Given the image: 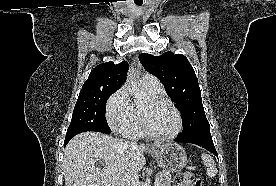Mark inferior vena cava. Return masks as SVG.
Here are the masks:
<instances>
[{
	"label": "inferior vena cava",
	"instance_id": "602c4592",
	"mask_svg": "<svg viewBox=\"0 0 276 186\" xmlns=\"http://www.w3.org/2000/svg\"><path fill=\"white\" fill-rule=\"evenodd\" d=\"M127 143L129 142L126 141V144ZM137 183H138L137 176H134L127 182L126 186H138Z\"/></svg>",
	"mask_w": 276,
	"mask_h": 186
}]
</instances>
